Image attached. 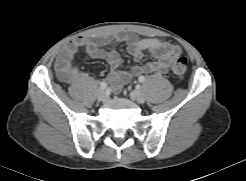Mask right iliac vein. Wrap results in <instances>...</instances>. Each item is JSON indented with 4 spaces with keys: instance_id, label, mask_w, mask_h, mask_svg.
<instances>
[{
    "instance_id": "right-iliac-vein-1",
    "label": "right iliac vein",
    "mask_w": 246,
    "mask_h": 181,
    "mask_svg": "<svg viewBox=\"0 0 246 181\" xmlns=\"http://www.w3.org/2000/svg\"><path fill=\"white\" fill-rule=\"evenodd\" d=\"M96 98L98 101H104L107 98L105 89H99L96 93Z\"/></svg>"
}]
</instances>
